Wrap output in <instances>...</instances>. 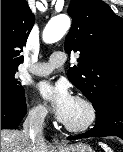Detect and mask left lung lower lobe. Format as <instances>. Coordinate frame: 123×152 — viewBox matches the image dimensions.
I'll use <instances>...</instances> for the list:
<instances>
[{
  "label": "left lung lower lobe",
  "instance_id": "1",
  "mask_svg": "<svg viewBox=\"0 0 123 152\" xmlns=\"http://www.w3.org/2000/svg\"><path fill=\"white\" fill-rule=\"evenodd\" d=\"M95 110L97 121L94 128L86 133L68 137V140L104 136H117L123 139V97H109L102 101Z\"/></svg>",
  "mask_w": 123,
  "mask_h": 152
}]
</instances>
